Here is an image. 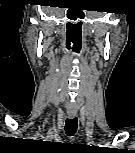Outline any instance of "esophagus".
I'll use <instances>...</instances> for the list:
<instances>
[{
	"mask_svg": "<svg viewBox=\"0 0 135 153\" xmlns=\"http://www.w3.org/2000/svg\"><path fill=\"white\" fill-rule=\"evenodd\" d=\"M69 118H74L76 116V113L70 112L68 113Z\"/></svg>",
	"mask_w": 135,
	"mask_h": 153,
	"instance_id": "esophagus-1",
	"label": "esophagus"
}]
</instances>
